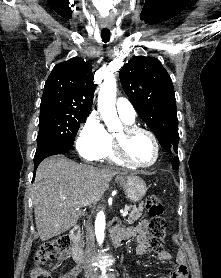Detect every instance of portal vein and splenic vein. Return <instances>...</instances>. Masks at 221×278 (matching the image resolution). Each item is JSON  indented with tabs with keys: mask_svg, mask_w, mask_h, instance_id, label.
<instances>
[{
	"mask_svg": "<svg viewBox=\"0 0 221 278\" xmlns=\"http://www.w3.org/2000/svg\"><path fill=\"white\" fill-rule=\"evenodd\" d=\"M81 204L90 205L91 202H90V201H84V202H82ZM120 213H121V216H122V217H125V216H127V214H128V209H125L124 211L121 210Z\"/></svg>",
	"mask_w": 221,
	"mask_h": 278,
	"instance_id": "portal-vein-and-splenic-vein-1",
	"label": "portal vein and splenic vein"
}]
</instances>
